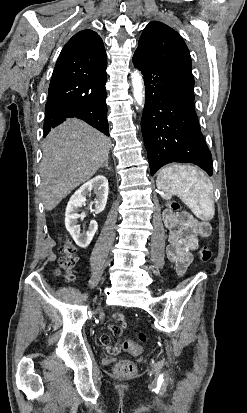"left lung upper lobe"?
<instances>
[{"mask_svg":"<svg viewBox=\"0 0 247 413\" xmlns=\"http://www.w3.org/2000/svg\"><path fill=\"white\" fill-rule=\"evenodd\" d=\"M135 53L194 84L188 48L180 35L164 23L152 21L144 28Z\"/></svg>","mask_w":247,"mask_h":413,"instance_id":"5c2ea615","label":"left lung upper lobe"}]
</instances>
